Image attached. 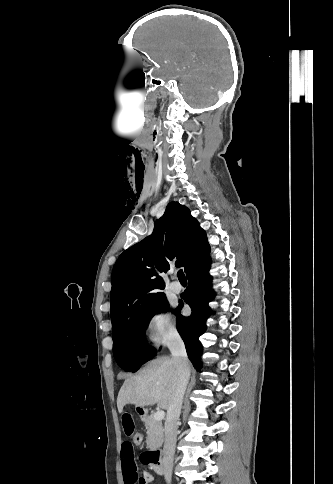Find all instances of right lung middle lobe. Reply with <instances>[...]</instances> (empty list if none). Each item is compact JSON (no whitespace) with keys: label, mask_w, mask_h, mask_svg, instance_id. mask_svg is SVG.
<instances>
[{"label":"right lung middle lobe","mask_w":333,"mask_h":484,"mask_svg":"<svg viewBox=\"0 0 333 484\" xmlns=\"http://www.w3.org/2000/svg\"><path fill=\"white\" fill-rule=\"evenodd\" d=\"M167 309L168 302L163 295L131 314L113 333V354L122 369L136 371L155 356L156 350L146 342V328L155 314Z\"/></svg>","instance_id":"obj_1"}]
</instances>
